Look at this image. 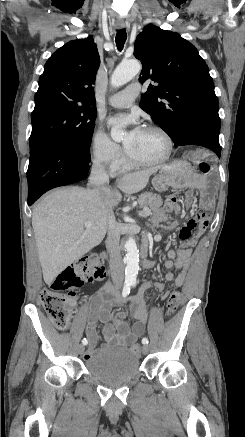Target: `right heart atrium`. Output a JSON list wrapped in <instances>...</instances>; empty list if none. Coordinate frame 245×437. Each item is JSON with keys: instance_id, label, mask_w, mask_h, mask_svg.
I'll use <instances>...</instances> for the list:
<instances>
[{"instance_id": "obj_1", "label": "right heart atrium", "mask_w": 245, "mask_h": 437, "mask_svg": "<svg viewBox=\"0 0 245 437\" xmlns=\"http://www.w3.org/2000/svg\"><path fill=\"white\" fill-rule=\"evenodd\" d=\"M89 150L93 163L110 171L115 170L124 161L120 146L101 127H97L92 133Z\"/></svg>"}]
</instances>
